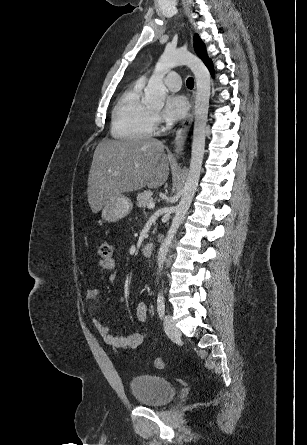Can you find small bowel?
<instances>
[{"instance_id":"small-bowel-1","label":"small bowel","mask_w":307,"mask_h":445,"mask_svg":"<svg viewBox=\"0 0 307 445\" xmlns=\"http://www.w3.org/2000/svg\"><path fill=\"white\" fill-rule=\"evenodd\" d=\"M99 266L108 271L111 276H114L117 270V263L114 258L100 260ZM98 295L99 291L96 288H91L86 292V300L89 307L93 306ZM136 311L137 317L140 320L145 321L147 319L148 307L144 302H140L137 305ZM94 325L107 344L123 350L138 348L142 345L146 335L145 331L132 334L114 335L100 319H95Z\"/></svg>"}]
</instances>
